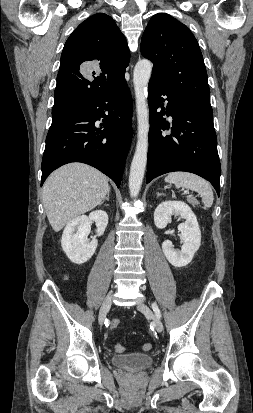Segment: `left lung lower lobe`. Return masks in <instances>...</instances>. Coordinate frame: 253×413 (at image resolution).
<instances>
[{
    "instance_id": "0a47b994",
    "label": "left lung lower lobe",
    "mask_w": 253,
    "mask_h": 413,
    "mask_svg": "<svg viewBox=\"0 0 253 413\" xmlns=\"http://www.w3.org/2000/svg\"><path fill=\"white\" fill-rule=\"evenodd\" d=\"M165 100L168 101L166 108L163 107ZM148 103L150 131L146 183L168 172L186 171L210 181L220 195L221 166L213 112L174 96L152 78L148 86ZM159 107L163 111L157 112ZM165 114L173 117L169 135L161 131L169 129L162 117Z\"/></svg>"
}]
</instances>
